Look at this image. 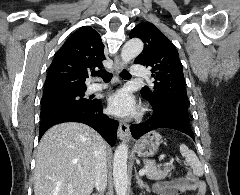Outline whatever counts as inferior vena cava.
Listing matches in <instances>:
<instances>
[{"instance_id": "inferior-vena-cava-1", "label": "inferior vena cava", "mask_w": 240, "mask_h": 195, "mask_svg": "<svg viewBox=\"0 0 240 195\" xmlns=\"http://www.w3.org/2000/svg\"><path fill=\"white\" fill-rule=\"evenodd\" d=\"M105 149L106 145L103 143L98 151V159L95 165L96 173L94 177V185L96 189L100 191V195H103L107 185V161Z\"/></svg>"}]
</instances>
